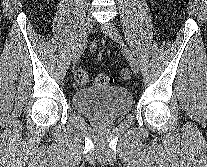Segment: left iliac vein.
I'll use <instances>...</instances> for the list:
<instances>
[{
	"instance_id": "1",
	"label": "left iliac vein",
	"mask_w": 207,
	"mask_h": 167,
	"mask_svg": "<svg viewBox=\"0 0 207 167\" xmlns=\"http://www.w3.org/2000/svg\"><path fill=\"white\" fill-rule=\"evenodd\" d=\"M104 32L114 41L117 43H120L121 46L124 48L125 56L130 64L131 70L135 73H139V66L138 62L131 52V50L125 45V43L122 40V37L118 31V29L115 27L112 23H107L106 25L102 26Z\"/></svg>"
}]
</instances>
